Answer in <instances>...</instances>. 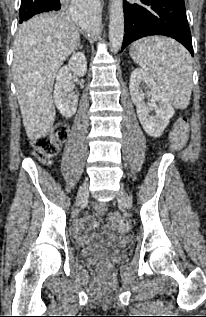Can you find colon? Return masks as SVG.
<instances>
[{
  "label": "colon",
  "mask_w": 206,
  "mask_h": 317,
  "mask_svg": "<svg viewBox=\"0 0 206 317\" xmlns=\"http://www.w3.org/2000/svg\"><path fill=\"white\" fill-rule=\"evenodd\" d=\"M67 135L68 126L65 123L56 124L47 134L33 141L35 155L46 163L50 162L58 154L59 146L64 142ZM187 138L188 122L185 118L178 119L170 134L172 147L176 150L182 149ZM94 210L98 214H104L107 208L103 203H97L94 205ZM108 221L122 232H130L129 225L118 213H111Z\"/></svg>",
  "instance_id": "colon-1"
}]
</instances>
